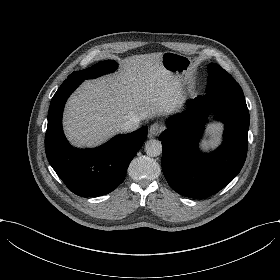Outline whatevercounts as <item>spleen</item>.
I'll list each match as a JSON object with an SVG mask.
<instances>
[{
    "label": "spleen",
    "mask_w": 280,
    "mask_h": 280,
    "mask_svg": "<svg viewBox=\"0 0 280 280\" xmlns=\"http://www.w3.org/2000/svg\"><path fill=\"white\" fill-rule=\"evenodd\" d=\"M220 143L212 136L202 135L196 139V152L200 156H208L211 152H216Z\"/></svg>",
    "instance_id": "1"
}]
</instances>
